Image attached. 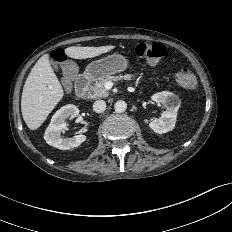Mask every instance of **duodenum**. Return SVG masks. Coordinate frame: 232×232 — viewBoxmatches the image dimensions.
Masks as SVG:
<instances>
[{"instance_id":"1","label":"duodenum","mask_w":232,"mask_h":232,"mask_svg":"<svg viewBox=\"0 0 232 232\" xmlns=\"http://www.w3.org/2000/svg\"><path fill=\"white\" fill-rule=\"evenodd\" d=\"M90 78L86 74L79 75L75 80V90L79 97H84L87 91Z\"/></svg>"}]
</instances>
